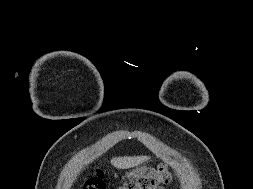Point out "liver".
Masks as SVG:
<instances>
[{"mask_svg":"<svg viewBox=\"0 0 253 189\" xmlns=\"http://www.w3.org/2000/svg\"><path fill=\"white\" fill-rule=\"evenodd\" d=\"M147 156H124L115 157L111 160V164L118 169H127L142 164L147 161Z\"/></svg>","mask_w":253,"mask_h":189,"instance_id":"obj_1","label":"liver"}]
</instances>
